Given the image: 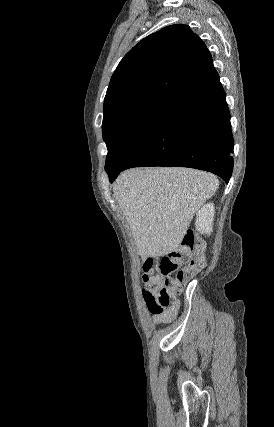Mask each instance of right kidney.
<instances>
[{"mask_svg": "<svg viewBox=\"0 0 274 427\" xmlns=\"http://www.w3.org/2000/svg\"><path fill=\"white\" fill-rule=\"evenodd\" d=\"M214 214V204H204V206L200 208L195 221V227L199 233H207V235H210Z\"/></svg>", "mask_w": 274, "mask_h": 427, "instance_id": "ca27d5eb", "label": "right kidney"}]
</instances>
